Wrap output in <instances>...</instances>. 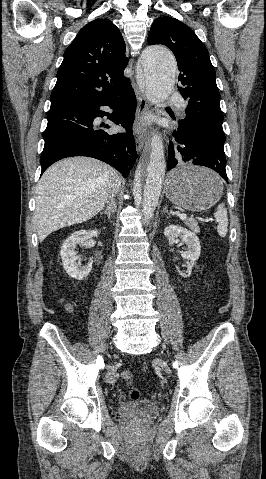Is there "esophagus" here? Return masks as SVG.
Segmentation results:
<instances>
[{
	"instance_id": "1",
	"label": "esophagus",
	"mask_w": 266,
	"mask_h": 479,
	"mask_svg": "<svg viewBox=\"0 0 266 479\" xmlns=\"http://www.w3.org/2000/svg\"><path fill=\"white\" fill-rule=\"evenodd\" d=\"M132 87L135 91L137 102H138L136 122H135L136 124L135 143H136L137 151L140 152L147 140V137L145 135V129L143 126V118L149 109V103L146 97L139 91L138 86L134 80H132Z\"/></svg>"
}]
</instances>
